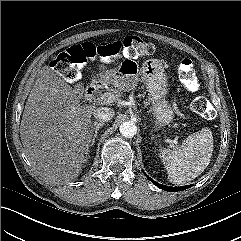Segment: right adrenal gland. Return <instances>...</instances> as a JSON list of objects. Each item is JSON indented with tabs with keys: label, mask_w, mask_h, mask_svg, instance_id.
<instances>
[{
	"label": "right adrenal gland",
	"mask_w": 241,
	"mask_h": 241,
	"mask_svg": "<svg viewBox=\"0 0 241 241\" xmlns=\"http://www.w3.org/2000/svg\"><path fill=\"white\" fill-rule=\"evenodd\" d=\"M103 126H104V123L94 122L93 124H91V126H90V132L92 134L91 146L94 145L95 139H96L97 134H98V131Z\"/></svg>",
	"instance_id": "obj_1"
}]
</instances>
